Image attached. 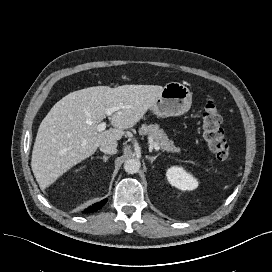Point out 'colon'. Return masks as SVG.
<instances>
[{"mask_svg": "<svg viewBox=\"0 0 272 272\" xmlns=\"http://www.w3.org/2000/svg\"><path fill=\"white\" fill-rule=\"evenodd\" d=\"M202 133L209 150L220 161L231 158V149L228 145L222 128V116L215 101L208 100L202 112Z\"/></svg>", "mask_w": 272, "mask_h": 272, "instance_id": "1", "label": "colon"}]
</instances>
